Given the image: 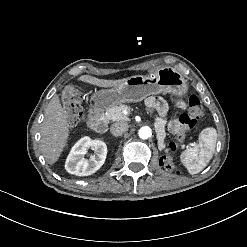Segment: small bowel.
<instances>
[{"label": "small bowel", "mask_w": 247, "mask_h": 247, "mask_svg": "<svg viewBox=\"0 0 247 247\" xmlns=\"http://www.w3.org/2000/svg\"><path fill=\"white\" fill-rule=\"evenodd\" d=\"M145 104L149 110L157 112L160 116H165L168 111L167 101L159 96H151L147 98ZM176 105L183 110L186 109L185 102L181 100H178Z\"/></svg>", "instance_id": "1"}]
</instances>
